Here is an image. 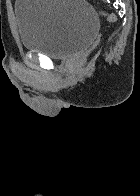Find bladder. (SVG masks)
I'll list each match as a JSON object with an SVG mask.
<instances>
[{
  "label": "bladder",
  "mask_w": 140,
  "mask_h": 196,
  "mask_svg": "<svg viewBox=\"0 0 140 196\" xmlns=\"http://www.w3.org/2000/svg\"><path fill=\"white\" fill-rule=\"evenodd\" d=\"M14 13L23 49L51 59L84 52L99 30L96 11L85 0H16Z\"/></svg>",
  "instance_id": "obj_1"
}]
</instances>
